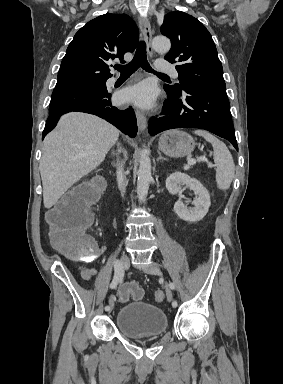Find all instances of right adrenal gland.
<instances>
[{"label":"right adrenal gland","instance_id":"2a0ac1e0","mask_svg":"<svg viewBox=\"0 0 283 384\" xmlns=\"http://www.w3.org/2000/svg\"><path fill=\"white\" fill-rule=\"evenodd\" d=\"M116 144H117L118 150H111V156H115V158H117V160H118L119 154H123L124 160H127L126 150H124V148H121L119 142H116ZM117 160H116V162H115V160H114V162H111V164H112V166H114V168H115V166H118Z\"/></svg>","mask_w":283,"mask_h":384}]
</instances>
